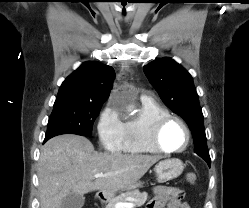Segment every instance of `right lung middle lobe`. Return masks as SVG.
Returning <instances> with one entry per match:
<instances>
[{"mask_svg": "<svg viewBox=\"0 0 249 208\" xmlns=\"http://www.w3.org/2000/svg\"><path fill=\"white\" fill-rule=\"evenodd\" d=\"M102 103H72L54 106L47 125L46 137L77 134L90 137Z\"/></svg>", "mask_w": 249, "mask_h": 208, "instance_id": "right-lung-middle-lobe-1", "label": "right lung middle lobe"}]
</instances>
